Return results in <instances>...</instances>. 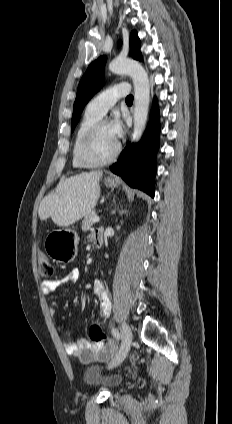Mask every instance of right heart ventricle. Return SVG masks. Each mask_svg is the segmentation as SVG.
Here are the masks:
<instances>
[{"instance_id": "obj_1", "label": "right heart ventricle", "mask_w": 232, "mask_h": 424, "mask_svg": "<svg viewBox=\"0 0 232 424\" xmlns=\"http://www.w3.org/2000/svg\"><path fill=\"white\" fill-rule=\"evenodd\" d=\"M101 116H98L89 110L86 109L84 112L75 132L74 141L72 145V164L73 167L78 169L86 168L78 157V147L80 144L81 139L83 138L84 134L87 132V130L91 127L93 123H95L98 119H100Z\"/></svg>"}]
</instances>
